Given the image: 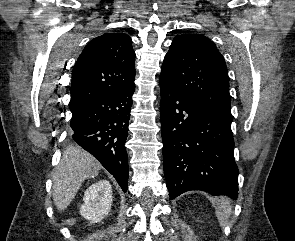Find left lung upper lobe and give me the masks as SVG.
I'll use <instances>...</instances> for the list:
<instances>
[{
	"label": "left lung upper lobe",
	"instance_id": "obj_1",
	"mask_svg": "<svg viewBox=\"0 0 295 241\" xmlns=\"http://www.w3.org/2000/svg\"><path fill=\"white\" fill-rule=\"evenodd\" d=\"M160 77L188 98L232 120L227 67L215 44L204 35L176 36Z\"/></svg>",
	"mask_w": 295,
	"mask_h": 241
}]
</instances>
